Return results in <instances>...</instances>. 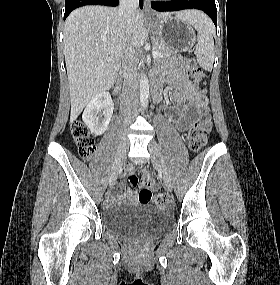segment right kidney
I'll use <instances>...</instances> for the list:
<instances>
[{
	"mask_svg": "<svg viewBox=\"0 0 280 285\" xmlns=\"http://www.w3.org/2000/svg\"><path fill=\"white\" fill-rule=\"evenodd\" d=\"M114 104L108 92H100L87 104L82 120L95 135H102L112 118ZM102 111V114L99 113Z\"/></svg>",
	"mask_w": 280,
	"mask_h": 285,
	"instance_id": "1",
	"label": "right kidney"
}]
</instances>
